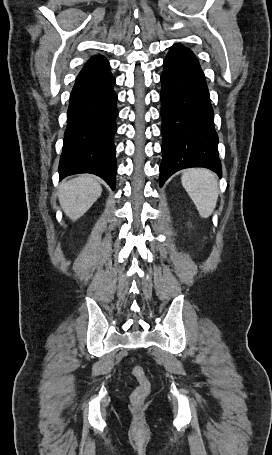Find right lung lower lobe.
Segmentation results:
<instances>
[{
  "mask_svg": "<svg viewBox=\"0 0 272 455\" xmlns=\"http://www.w3.org/2000/svg\"><path fill=\"white\" fill-rule=\"evenodd\" d=\"M114 84L115 78L110 70L76 80L67 112V128L59 163L60 179L77 173H92L115 189L113 136L118 110Z\"/></svg>",
  "mask_w": 272,
  "mask_h": 455,
  "instance_id": "right-lung-lower-lobe-1",
  "label": "right lung lower lobe"
}]
</instances>
